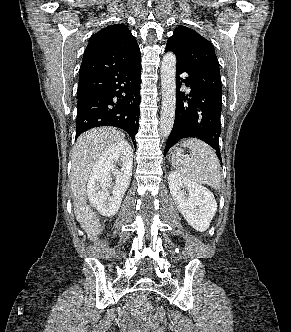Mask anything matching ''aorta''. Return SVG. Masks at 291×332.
Masks as SVG:
<instances>
[{
  "label": "aorta",
  "instance_id": "762f6f07",
  "mask_svg": "<svg viewBox=\"0 0 291 332\" xmlns=\"http://www.w3.org/2000/svg\"><path fill=\"white\" fill-rule=\"evenodd\" d=\"M161 86L160 134L166 138L172 131L176 109V56L172 52L166 53L162 59Z\"/></svg>",
  "mask_w": 291,
  "mask_h": 332
}]
</instances>
